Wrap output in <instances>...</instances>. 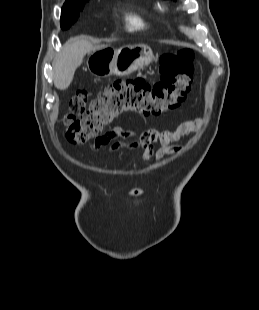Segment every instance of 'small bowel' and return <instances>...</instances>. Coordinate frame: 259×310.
<instances>
[{
    "mask_svg": "<svg viewBox=\"0 0 259 310\" xmlns=\"http://www.w3.org/2000/svg\"><path fill=\"white\" fill-rule=\"evenodd\" d=\"M204 122L201 118L190 119L181 122L173 130L160 131L152 128L140 136L135 137L123 127H115L102 137L98 138L91 144L93 151L104 150L108 154L115 153L122 149L141 151V160L147 161L155 158L157 161L162 160L166 155L178 150L173 144L179 141L185 135L198 131L202 128ZM122 139L123 142L114 143L110 147L107 146L115 139ZM158 142L160 147L155 150L154 143Z\"/></svg>",
    "mask_w": 259,
    "mask_h": 310,
    "instance_id": "small-bowel-1",
    "label": "small bowel"
}]
</instances>
